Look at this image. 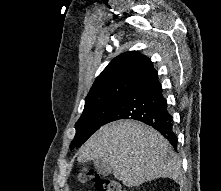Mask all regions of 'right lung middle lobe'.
Instances as JSON below:
<instances>
[{
  "mask_svg": "<svg viewBox=\"0 0 221 191\" xmlns=\"http://www.w3.org/2000/svg\"><path fill=\"white\" fill-rule=\"evenodd\" d=\"M122 97L84 107V111L75 124L76 135L70 148L83 144L97 129L108 120Z\"/></svg>",
  "mask_w": 221,
  "mask_h": 191,
  "instance_id": "1",
  "label": "right lung middle lobe"
}]
</instances>
